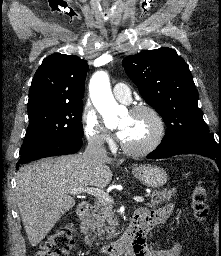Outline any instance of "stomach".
Here are the masks:
<instances>
[{
  "label": "stomach",
  "mask_w": 221,
  "mask_h": 256,
  "mask_svg": "<svg viewBox=\"0 0 221 256\" xmlns=\"http://www.w3.org/2000/svg\"><path fill=\"white\" fill-rule=\"evenodd\" d=\"M132 172L143 185L151 188L162 187L168 178L164 169L152 165L135 167Z\"/></svg>",
  "instance_id": "0dacf381"
}]
</instances>
